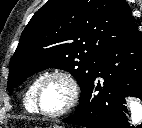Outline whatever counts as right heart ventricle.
Instances as JSON below:
<instances>
[{
  "instance_id": "right-heart-ventricle-1",
  "label": "right heart ventricle",
  "mask_w": 142,
  "mask_h": 128,
  "mask_svg": "<svg viewBox=\"0 0 142 128\" xmlns=\"http://www.w3.org/2000/svg\"><path fill=\"white\" fill-rule=\"evenodd\" d=\"M41 75L37 76L35 79L31 81V83L27 86L24 96H23V104L27 111L35 113V103H34V93L37 86V82Z\"/></svg>"
}]
</instances>
